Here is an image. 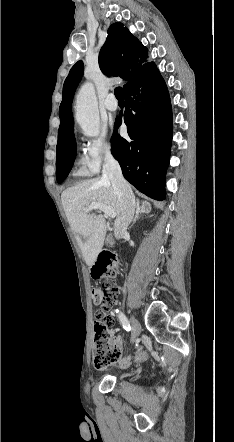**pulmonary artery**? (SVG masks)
<instances>
[{
  "label": "pulmonary artery",
  "instance_id": "obj_1",
  "mask_svg": "<svg viewBox=\"0 0 234 442\" xmlns=\"http://www.w3.org/2000/svg\"><path fill=\"white\" fill-rule=\"evenodd\" d=\"M105 108L108 111L114 112L118 109V103L113 94H109L105 100Z\"/></svg>",
  "mask_w": 234,
  "mask_h": 442
}]
</instances>
